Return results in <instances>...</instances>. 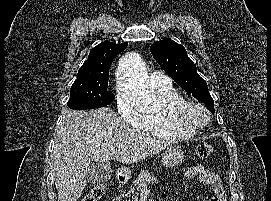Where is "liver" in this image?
<instances>
[{
  "label": "liver",
  "mask_w": 271,
  "mask_h": 201,
  "mask_svg": "<svg viewBox=\"0 0 271 201\" xmlns=\"http://www.w3.org/2000/svg\"><path fill=\"white\" fill-rule=\"evenodd\" d=\"M172 144L131 127L110 108L67 111L57 128L52 156L58 201L78 200L88 183L85 169L93 161L134 164Z\"/></svg>",
  "instance_id": "liver-1"
}]
</instances>
